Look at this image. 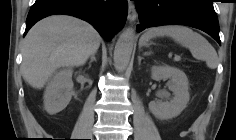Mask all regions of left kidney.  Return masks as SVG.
<instances>
[{
  "label": "left kidney",
  "mask_w": 236,
  "mask_h": 140,
  "mask_svg": "<svg viewBox=\"0 0 236 140\" xmlns=\"http://www.w3.org/2000/svg\"><path fill=\"white\" fill-rule=\"evenodd\" d=\"M151 77L154 80L170 79L168 87L173 92L174 98L169 102L151 101L150 111L159 119L177 117L186 108L190 99L186 74L177 68L163 65L153 67Z\"/></svg>",
  "instance_id": "5707ae66"
}]
</instances>
